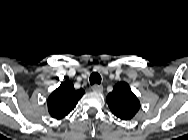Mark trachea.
<instances>
[{"mask_svg":"<svg viewBox=\"0 0 188 140\" xmlns=\"http://www.w3.org/2000/svg\"><path fill=\"white\" fill-rule=\"evenodd\" d=\"M101 83V76L94 72L90 75V84L93 85V84H100Z\"/></svg>","mask_w":188,"mask_h":140,"instance_id":"trachea-1","label":"trachea"}]
</instances>
